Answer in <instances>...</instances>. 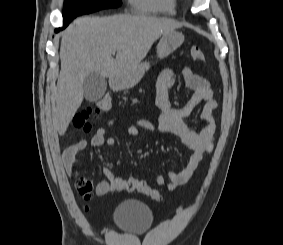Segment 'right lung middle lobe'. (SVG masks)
I'll list each match as a JSON object with an SVG mask.
<instances>
[{
	"mask_svg": "<svg viewBox=\"0 0 283 245\" xmlns=\"http://www.w3.org/2000/svg\"><path fill=\"white\" fill-rule=\"evenodd\" d=\"M120 5L121 0H65L63 9L64 26H67L79 15L106 8H116Z\"/></svg>",
	"mask_w": 283,
	"mask_h": 245,
	"instance_id": "obj_1",
	"label": "right lung middle lobe"
}]
</instances>
